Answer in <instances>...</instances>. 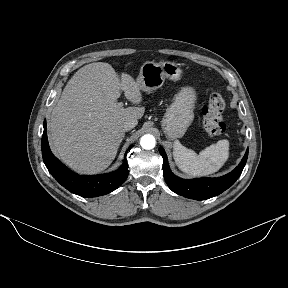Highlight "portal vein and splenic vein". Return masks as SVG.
Returning a JSON list of instances; mask_svg holds the SVG:
<instances>
[{
    "label": "portal vein and splenic vein",
    "mask_w": 288,
    "mask_h": 288,
    "mask_svg": "<svg viewBox=\"0 0 288 288\" xmlns=\"http://www.w3.org/2000/svg\"><path fill=\"white\" fill-rule=\"evenodd\" d=\"M118 105H119V106H122V105H123V103H122V102H120V103H118Z\"/></svg>",
    "instance_id": "18ae733b"
}]
</instances>
